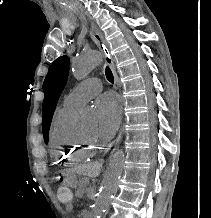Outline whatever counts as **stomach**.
<instances>
[{
    "label": "stomach",
    "instance_id": "0dacf381",
    "mask_svg": "<svg viewBox=\"0 0 211 218\" xmlns=\"http://www.w3.org/2000/svg\"><path fill=\"white\" fill-rule=\"evenodd\" d=\"M63 182L65 185L72 187V188H75L79 185L77 175L74 173L64 175Z\"/></svg>",
    "mask_w": 211,
    "mask_h": 218
}]
</instances>
